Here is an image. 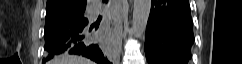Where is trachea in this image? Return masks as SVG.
I'll list each match as a JSON object with an SVG mask.
<instances>
[{
	"mask_svg": "<svg viewBox=\"0 0 242 64\" xmlns=\"http://www.w3.org/2000/svg\"><path fill=\"white\" fill-rule=\"evenodd\" d=\"M103 2H107V0H103Z\"/></svg>",
	"mask_w": 242,
	"mask_h": 64,
	"instance_id": "trachea-1",
	"label": "trachea"
}]
</instances>
